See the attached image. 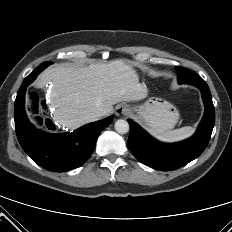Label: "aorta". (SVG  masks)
Wrapping results in <instances>:
<instances>
[{
    "instance_id": "1",
    "label": "aorta",
    "mask_w": 232,
    "mask_h": 232,
    "mask_svg": "<svg viewBox=\"0 0 232 232\" xmlns=\"http://www.w3.org/2000/svg\"><path fill=\"white\" fill-rule=\"evenodd\" d=\"M115 130L119 134H126L129 131V124L126 120L119 119L115 122Z\"/></svg>"
}]
</instances>
